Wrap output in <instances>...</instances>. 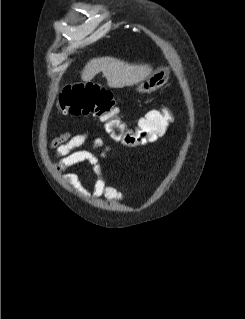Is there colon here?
Here are the masks:
<instances>
[{
  "mask_svg": "<svg viewBox=\"0 0 245 319\" xmlns=\"http://www.w3.org/2000/svg\"><path fill=\"white\" fill-rule=\"evenodd\" d=\"M60 110L72 116L94 115L106 127L110 137L126 147H135L156 141L167 129L172 115L168 110L150 111L130 128L120 117L119 106L113 94L98 84H74L59 95Z\"/></svg>",
  "mask_w": 245,
  "mask_h": 319,
  "instance_id": "obj_1",
  "label": "colon"
}]
</instances>
